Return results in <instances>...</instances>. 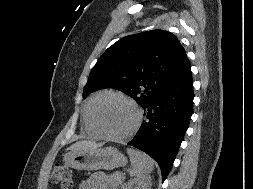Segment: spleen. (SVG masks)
<instances>
[{"label":"spleen","mask_w":253,"mask_h":189,"mask_svg":"<svg viewBox=\"0 0 253 189\" xmlns=\"http://www.w3.org/2000/svg\"><path fill=\"white\" fill-rule=\"evenodd\" d=\"M127 153L131 161V176L143 177L153 171L154 161L147 154L133 148H128Z\"/></svg>","instance_id":"1"}]
</instances>
